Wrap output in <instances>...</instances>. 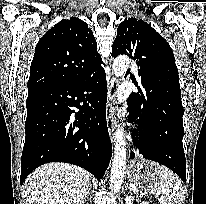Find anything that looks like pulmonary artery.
<instances>
[{
  "instance_id": "e3ab8cb5",
  "label": "pulmonary artery",
  "mask_w": 206,
  "mask_h": 204,
  "mask_svg": "<svg viewBox=\"0 0 206 204\" xmlns=\"http://www.w3.org/2000/svg\"><path fill=\"white\" fill-rule=\"evenodd\" d=\"M133 72H134L135 74H137V73H138V71H137V69H136V68H134V69H133Z\"/></svg>"
}]
</instances>
